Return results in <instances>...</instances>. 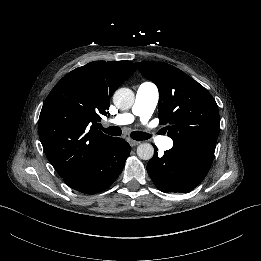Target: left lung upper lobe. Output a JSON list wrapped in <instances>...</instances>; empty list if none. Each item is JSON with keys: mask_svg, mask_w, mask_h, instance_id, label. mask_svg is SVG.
I'll list each match as a JSON object with an SVG mask.
<instances>
[{"mask_svg": "<svg viewBox=\"0 0 261 261\" xmlns=\"http://www.w3.org/2000/svg\"><path fill=\"white\" fill-rule=\"evenodd\" d=\"M136 65L159 89V119L163 125L170 124L167 135L173 145H194L215 151L219 112L212 95L170 64L145 61Z\"/></svg>", "mask_w": 261, "mask_h": 261, "instance_id": "1", "label": "left lung upper lobe"}]
</instances>
